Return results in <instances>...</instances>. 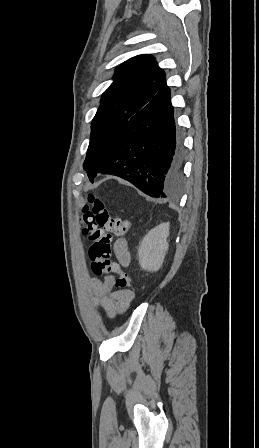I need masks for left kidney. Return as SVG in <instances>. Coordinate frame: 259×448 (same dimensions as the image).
I'll return each mask as SVG.
<instances>
[{"label":"left kidney","mask_w":259,"mask_h":448,"mask_svg":"<svg viewBox=\"0 0 259 448\" xmlns=\"http://www.w3.org/2000/svg\"><path fill=\"white\" fill-rule=\"evenodd\" d=\"M169 230V222H166V224H160L150 230L143 238L138 250L139 264L142 270H147V272L160 270L169 248L168 242H166Z\"/></svg>","instance_id":"1"}]
</instances>
